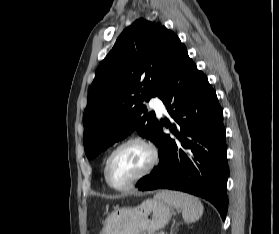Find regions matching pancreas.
Wrapping results in <instances>:
<instances>
[{"label": "pancreas", "mask_w": 279, "mask_h": 234, "mask_svg": "<svg viewBox=\"0 0 279 234\" xmlns=\"http://www.w3.org/2000/svg\"><path fill=\"white\" fill-rule=\"evenodd\" d=\"M148 234H160V233L149 232Z\"/></svg>", "instance_id": "obj_1"}]
</instances>
